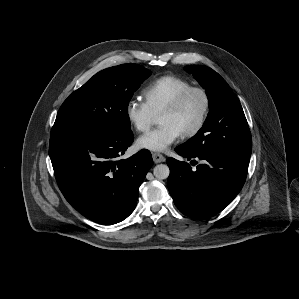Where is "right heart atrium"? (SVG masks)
<instances>
[{
    "label": "right heart atrium",
    "mask_w": 299,
    "mask_h": 299,
    "mask_svg": "<svg viewBox=\"0 0 299 299\" xmlns=\"http://www.w3.org/2000/svg\"><path fill=\"white\" fill-rule=\"evenodd\" d=\"M124 111L127 121L137 132L147 131L155 118L145 102L136 99H130L126 103Z\"/></svg>",
    "instance_id": "d8ad5b80"
}]
</instances>
